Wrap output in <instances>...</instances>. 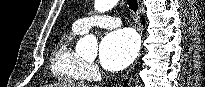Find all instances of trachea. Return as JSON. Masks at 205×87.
Instances as JSON below:
<instances>
[{
    "label": "trachea",
    "instance_id": "3493384b",
    "mask_svg": "<svg viewBox=\"0 0 205 87\" xmlns=\"http://www.w3.org/2000/svg\"><path fill=\"white\" fill-rule=\"evenodd\" d=\"M127 3L131 10H133L134 12L137 11V8H138L137 0H127Z\"/></svg>",
    "mask_w": 205,
    "mask_h": 87
}]
</instances>
